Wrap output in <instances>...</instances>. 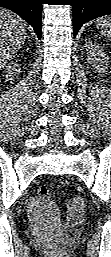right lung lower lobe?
Returning <instances> with one entry per match:
<instances>
[{"mask_svg": "<svg viewBox=\"0 0 111 257\" xmlns=\"http://www.w3.org/2000/svg\"><path fill=\"white\" fill-rule=\"evenodd\" d=\"M0 7L18 14L34 28L37 37L41 38L42 0H0Z\"/></svg>", "mask_w": 111, "mask_h": 257, "instance_id": "right-lung-lower-lobe-1", "label": "right lung lower lobe"}]
</instances>
